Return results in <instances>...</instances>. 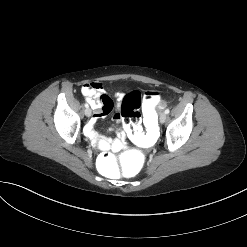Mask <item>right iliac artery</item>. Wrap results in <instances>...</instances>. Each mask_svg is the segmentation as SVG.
<instances>
[{"label":"right iliac artery","instance_id":"right-iliac-artery-1","mask_svg":"<svg viewBox=\"0 0 247 247\" xmlns=\"http://www.w3.org/2000/svg\"><path fill=\"white\" fill-rule=\"evenodd\" d=\"M86 108H88L89 107V105L86 103L85 105H84Z\"/></svg>","mask_w":247,"mask_h":247}]
</instances>
